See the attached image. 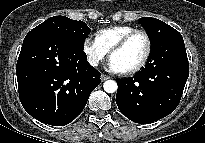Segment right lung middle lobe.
Returning a JSON list of instances; mask_svg holds the SVG:
<instances>
[{
  "label": "right lung middle lobe",
  "mask_w": 205,
  "mask_h": 143,
  "mask_svg": "<svg viewBox=\"0 0 205 143\" xmlns=\"http://www.w3.org/2000/svg\"><path fill=\"white\" fill-rule=\"evenodd\" d=\"M32 30L54 33L82 49L85 38L90 32L85 22L72 20L65 16H53Z\"/></svg>",
  "instance_id": "1"
}]
</instances>
